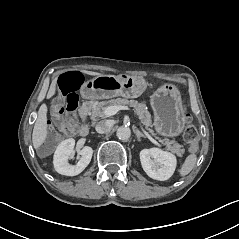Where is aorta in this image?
I'll list each match as a JSON object with an SVG mask.
<instances>
[{
  "label": "aorta",
  "mask_w": 239,
  "mask_h": 239,
  "mask_svg": "<svg viewBox=\"0 0 239 239\" xmlns=\"http://www.w3.org/2000/svg\"><path fill=\"white\" fill-rule=\"evenodd\" d=\"M116 136L119 138V139H122V140H127L130 138L131 136V130L129 127L127 126H120L117 131H116Z\"/></svg>",
  "instance_id": "1"
}]
</instances>
